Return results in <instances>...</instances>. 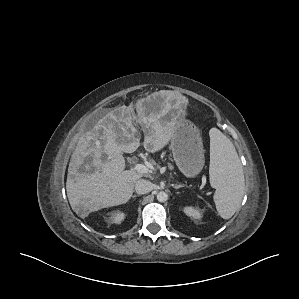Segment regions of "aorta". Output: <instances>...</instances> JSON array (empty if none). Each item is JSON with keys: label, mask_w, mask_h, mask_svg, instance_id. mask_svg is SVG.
I'll return each mask as SVG.
<instances>
[{"label": "aorta", "mask_w": 299, "mask_h": 299, "mask_svg": "<svg viewBox=\"0 0 299 299\" xmlns=\"http://www.w3.org/2000/svg\"><path fill=\"white\" fill-rule=\"evenodd\" d=\"M157 200L159 202H165L168 200V194L164 191H160L157 193Z\"/></svg>", "instance_id": "obj_1"}]
</instances>
